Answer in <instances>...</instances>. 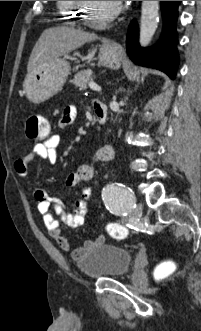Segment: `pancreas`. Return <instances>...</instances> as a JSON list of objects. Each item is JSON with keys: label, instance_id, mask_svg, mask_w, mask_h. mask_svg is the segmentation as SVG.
Instances as JSON below:
<instances>
[{"label": "pancreas", "instance_id": "obj_1", "mask_svg": "<svg viewBox=\"0 0 201 331\" xmlns=\"http://www.w3.org/2000/svg\"><path fill=\"white\" fill-rule=\"evenodd\" d=\"M91 74V70L80 71L74 76L72 82L79 89H85L87 84L89 83Z\"/></svg>", "mask_w": 201, "mask_h": 331}]
</instances>
